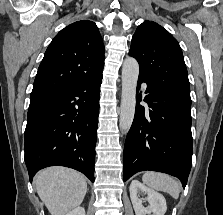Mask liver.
<instances>
[{
    "label": "liver",
    "mask_w": 223,
    "mask_h": 215,
    "mask_svg": "<svg viewBox=\"0 0 223 215\" xmlns=\"http://www.w3.org/2000/svg\"><path fill=\"white\" fill-rule=\"evenodd\" d=\"M37 193L51 215H65L82 203L87 191L84 175L69 167H46L34 177Z\"/></svg>",
    "instance_id": "liver-1"
}]
</instances>
